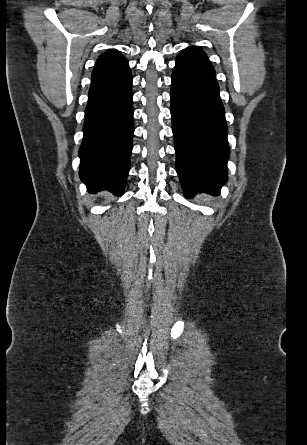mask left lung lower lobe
Segmentation results:
<instances>
[{
	"instance_id": "1",
	"label": "left lung lower lobe",
	"mask_w": 307,
	"mask_h": 445,
	"mask_svg": "<svg viewBox=\"0 0 307 445\" xmlns=\"http://www.w3.org/2000/svg\"><path fill=\"white\" fill-rule=\"evenodd\" d=\"M170 99L176 169L185 197L218 195L227 181L229 147L215 73L178 55Z\"/></svg>"
}]
</instances>
